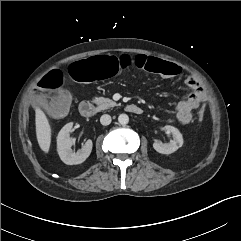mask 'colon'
<instances>
[{
	"label": "colon",
	"mask_w": 241,
	"mask_h": 241,
	"mask_svg": "<svg viewBox=\"0 0 241 241\" xmlns=\"http://www.w3.org/2000/svg\"><path fill=\"white\" fill-rule=\"evenodd\" d=\"M136 68L160 75L163 79H180L184 75V70L180 65L152 59L137 57L131 52L109 51L92 55L84 61L72 63L68 69L70 80L76 84L94 83L98 80H105L112 75L121 73H131ZM63 84V74L56 70L42 78L36 89L35 100L46 110L60 114L66 109L70 102L67 93H56L48 96L39 94L59 89ZM204 117V109H201L198 119Z\"/></svg>",
	"instance_id": "5ec220e1"
}]
</instances>
